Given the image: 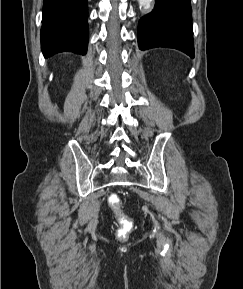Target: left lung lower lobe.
Returning a JSON list of instances; mask_svg holds the SVG:
<instances>
[{"mask_svg": "<svg viewBox=\"0 0 243 289\" xmlns=\"http://www.w3.org/2000/svg\"><path fill=\"white\" fill-rule=\"evenodd\" d=\"M191 12L190 0H156L138 23L139 48L170 47L194 58Z\"/></svg>", "mask_w": 243, "mask_h": 289, "instance_id": "left-lung-lower-lobe-1", "label": "left lung lower lobe"}]
</instances>
